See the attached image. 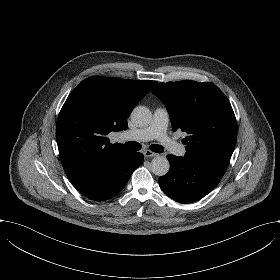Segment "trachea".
Segmentation results:
<instances>
[{"label": "trachea", "instance_id": "obj_1", "mask_svg": "<svg viewBox=\"0 0 280 280\" xmlns=\"http://www.w3.org/2000/svg\"><path fill=\"white\" fill-rule=\"evenodd\" d=\"M115 146L121 150H125L128 152H136L141 149V144L138 142H135V141H130L125 144L115 143ZM150 150H152L153 152H156V153H162L163 147L158 144H152L150 146Z\"/></svg>", "mask_w": 280, "mask_h": 280}]
</instances>
